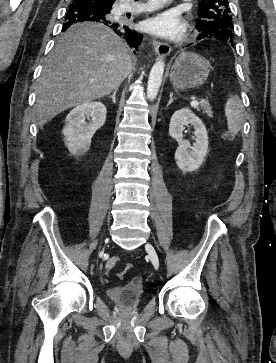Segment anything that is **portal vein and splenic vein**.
Segmentation results:
<instances>
[{"label": "portal vein and splenic vein", "mask_w": 276, "mask_h": 363, "mask_svg": "<svg viewBox=\"0 0 276 363\" xmlns=\"http://www.w3.org/2000/svg\"><path fill=\"white\" fill-rule=\"evenodd\" d=\"M198 105H199V102L197 100H193L191 102V106H193V107H197Z\"/></svg>", "instance_id": "18ae733b"}]
</instances>
